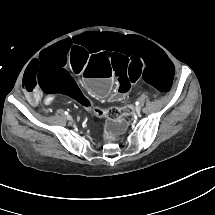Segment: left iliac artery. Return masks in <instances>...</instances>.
<instances>
[{"label": "left iliac artery", "instance_id": "1", "mask_svg": "<svg viewBox=\"0 0 215 215\" xmlns=\"http://www.w3.org/2000/svg\"><path fill=\"white\" fill-rule=\"evenodd\" d=\"M135 104H136L137 107H139V105H140L139 101H136Z\"/></svg>", "mask_w": 215, "mask_h": 215}]
</instances>
